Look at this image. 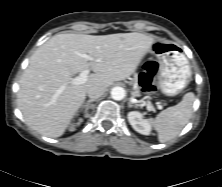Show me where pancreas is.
Returning a JSON list of instances; mask_svg holds the SVG:
<instances>
[{
	"mask_svg": "<svg viewBox=\"0 0 222 187\" xmlns=\"http://www.w3.org/2000/svg\"><path fill=\"white\" fill-rule=\"evenodd\" d=\"M134 95L135 96H140V91H139V88L136 87L135 90H134Z\"/></svg>",
	"mask_w": 222,
	"mask_h": 187,
	"instance_id": "obj_1",
	"label": "pancreas"
}]
</instances>
